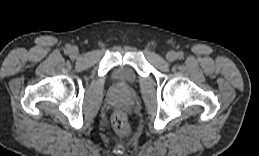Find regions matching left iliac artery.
Returning a JSON list of instances; mask_svg holds the SVG:
<instances>
[{
  "mask_svg": "<svg viewBox=\"0 0 259 156\" xmlns=\"http://www.w3.org/2000/svg\"><path fill=\"white\" fill-rule=\"evenodd\" d=\"M177 58L178 59H182L183 58V53L182 52H178L177 53Z\"/></svg>",
  "mask_w": 259,
  "mask_h": 156,
  "instance_id": "obj_1",
  "label": "left iliac artery"
}]
</instances>
